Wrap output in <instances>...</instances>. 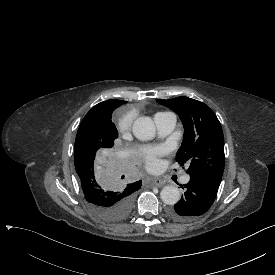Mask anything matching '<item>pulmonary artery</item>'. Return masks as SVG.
<instances>
[{"instance_id":"1","label":"pulmonary artery","mask_w":275,"mask_h":275,"mask_svg":"<svg viewBox=\"0 0 275 275\" xmlns=\"http://www.w3.org/2000/svg\"><path fill=\"white\" fill-rule=\"evenodd\" d=\"M154 122L157 126L158 132L160 136L168 135L172 132L176 125V116L173 113H158L154 116ZM190 180L189 175H184L181 178V182L183 184L188 183Z\"/></svg>"}]
</instances>
